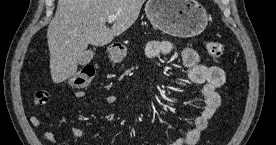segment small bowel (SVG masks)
<instances>
[{
	"label": "small bowel",
	"mask_w": 276,
	"mask_h": 145,
	"mask_svg": "<svg viewBox=\"0 0 276 145\" xmlns=\"http://www.w3.org/2000/svg\"><path fill=\"white\" fill-rule=\"evenodd\" d=\"M172 51L173 46L169 41H152L147 46L146 55L149 59H154L160 55L170 54ZM182 56L183 62L188 69L189 79L193 83L203 85L201 92L202 98L199 114L194 124L186 131L184 136L175 140L172 145H196L215 112L221 105L218 89L225 81V72L219 66H207L202 64L197 52L193 49H185ZM74 95L76 98L82 99L85 97V92L76 91ZM117 101L118 97L114 94H109L104 97V103L107 105H112ZM34 103L38 105L35 100ZM30 123L33 127H38L41 121L38 116L33 115L30 117ZM70 133L74 145L77 144L79 139L86 136L85 130L79 127L72 128ZM44 137L51 144H57V140L52 132H45Z\"/></svg>",
	"instance_id": "1"
}]
</instances>
